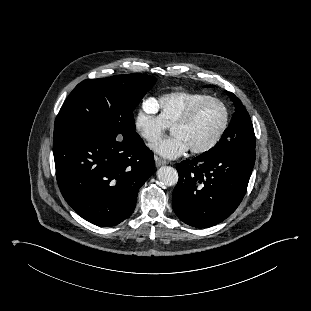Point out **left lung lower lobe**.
<instances>
[{
	"label": "left lung lower lobe",
	"mask_w": 311,
	"mask_h": 311,
	"mask_svg": "<svg viewBox=\"0 0 311 311\" xmlns=\"http://www.w3.org/2000/svg\"><path fill=\"white\" fill-rule=\"evenodd\" d=\"M255 163V149L201 154L177 164L174 212L184 223L205 228L229 217L243 199Z\"/></svg>",
	"instance_id": "obj_1"
}]
</instances>
